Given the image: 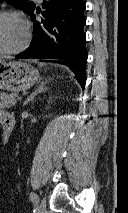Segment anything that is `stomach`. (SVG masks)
<instances>
[{
	"mask_svg": "<svg viewBox=\"0 0 128 213\" xmlns=\"http://www.w3.org/2000/svg\"><path fill=\"white\" fill-rule=\"evenodd\" d=\"M39 79V72L24 61H0V89L18 92L27 90Z\"/></svg>",
	"mask_w": 128,
	"mask_h": 213,
	"instance_id": "stomach-1",
	"label": "stomach"
}]
</instances>
